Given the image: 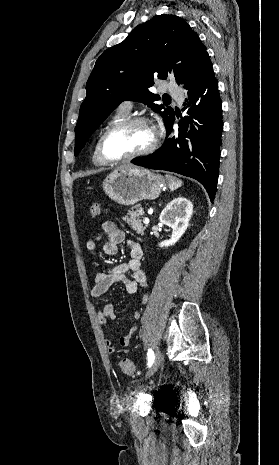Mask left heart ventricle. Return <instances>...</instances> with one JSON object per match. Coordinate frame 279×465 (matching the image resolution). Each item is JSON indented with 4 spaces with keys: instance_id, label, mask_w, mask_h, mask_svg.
I'll use <instances>...</instances> for the list:
<instances>
[{
    "instance_id": "1",
    "label": "left heart ventricle",
    "mask_w": 279,
    "mask_h": 465,
    "mask_svg": "<svg viewBox=\"0 0 279 465\" xmlns=\"http://www.w3.org/2000/svg\"><path fill=\"white\" fill-rule=\"evenodd\" d=\"M153 129L145 124H134L112 133L105 143V153L116 159L145 149L152 141Z\"/></svg>"
}]
</instances>
